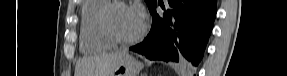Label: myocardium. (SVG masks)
Masks as SVG:
<instances>
[{
    "mask_svg": "<svg viewBox=\"0 0 287 76\" xmlns=\"http://www.w3.org/2000/svg\"><path fill=\"white\" fill-rule=\"evenodd\" d=\"M118 7H129L124 1L113 0L103 10L99 20L100 31L113 45H128L140 41L147 32V25L143 23L141 31L133 37L121 36L113 26L112 17Z\"/></svg>",
    "mask_w": 287,
    "mask_h": 76,
    "instance_id": "f54148a6",
    "label": "myocardium"
}]
</instances>
